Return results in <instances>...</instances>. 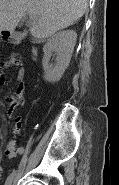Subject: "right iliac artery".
<instances>
[{
    "mask_svg": "<svg viewBox=\"0 0 119 185\" xmlns=\"http://www.w3.org/2000/svg\"><path fill=\"white\" fill-rule=\"evenodd\" d=\"M15 174H16V171H14L12 174H10V175L8 176V178H7L6 182H5V185H11L12 180H13Z\"/></svg>",
    "mask_w": 119,
    "mask_h": 185,
    "instance_id": "82829eb1",
    "label": "right iliac artery"
}]
</instances>
